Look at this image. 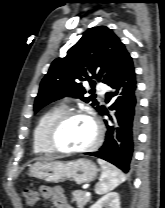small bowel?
I'll use <instances>...</instances> for the list:
<instances>
[{"mask_svg":"<svg viewBox=\"0 0 165 208\" xmlns=\"http://www.w3.org/2000/svg\"><path fill=\"white\" fill-rule=\"evenodd\" d=\"M40 193L44 199L51 200L56 208H73L60 186H41Z\"/></svg>","mask_w":165,"mask_h":208,"instance_id":"obj_1","label":"small bowel"}]
</instances>
